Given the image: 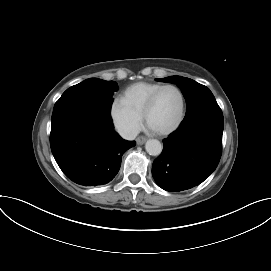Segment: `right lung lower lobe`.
Returning a JSON list of instances; mask_svg holds the SVG:
<instances>
[{
	"mask_svg": "<svg viewBox=\"0 0 271 271\" xmlns=\"http://www.w3.org/2000/svg\"><path fill=\"white\" fill-rule=\"evenodd\" d=\"M51 123L50 146L58 166L83 186L110 182L123 153L136 144L114 132L110 109L101 104L60 111Z\"/></svg>",
	"mask_w": 271,
	"mask_h": 271,
	"instance_id": "1",
	"label": "right lung lower lobe"
}]
</instances>
